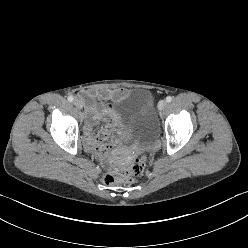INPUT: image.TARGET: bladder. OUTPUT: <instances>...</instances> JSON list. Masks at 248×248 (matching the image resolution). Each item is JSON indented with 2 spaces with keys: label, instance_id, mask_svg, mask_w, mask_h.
<instances>
[{
  "label": "bladder",
  "instance_id": "1",
  "mask_svg": "<svg viewBox=\"0 0 248 248\" xmlns=\"http://www.w3.org/2000/svg\"><path fill=\"white\" fill-rule=\"evenodd\" d=\"M122 121V136L127 142L147 149L157 139V127L151 115L152 97L148 90L140 88L129 93L115 104Z\"/></svg>",
  "mask_w": 248,
  "mask_h": 248
}]
</instances>
